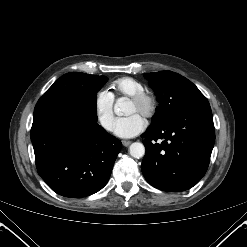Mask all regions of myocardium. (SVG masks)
I'll return each instance as SVG.
<instances>
[{
	"instance_id": "myocardium-1",
	"label": "myocardium",
	"mask_w": 247,
	"mask_h": 247,
	"mask_svg": "<svg viewBox=\"0 0 247 247\" xmlns=\"http://www.w3.org/2000/svg\"><path fill=\"white\" fill-rule=\"evenodd\" d=\"M129 101L142 109V114L146 118H151L157 109V101L153 94L142 91L129 98Z\"/></svg>"
}]
</instances>
